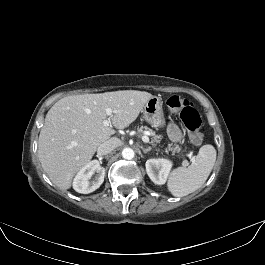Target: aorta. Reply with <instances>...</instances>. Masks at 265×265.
Here are the masks:
<instances>
[{
  "label": "aorta",
  "mask_w": 265,
  "mask_h": 265,
  "mask_svg": "<svg viewBox=\"0 0 265 265\" xmlns=\"http://www.w3.org/2000/svg\"><path fill=\"white\" fill-rule=\"evenodd\" d=\"M134 155H135V153H134L133 149H131V148H124L122 150V157L124 159L131 160L134 158Z\"/></svg>",
  "instance_id": "762f6f07"
}]
</instances>
